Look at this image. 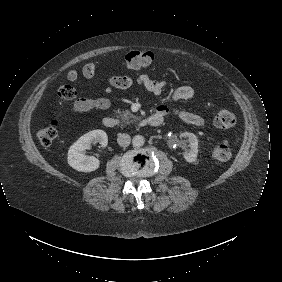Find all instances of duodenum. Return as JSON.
<instances>
[{"label":"duodenum","mask_w":282,"mask_h":282,"mask_svg":"<svg viewBox=\"0 0 282 282\" xmlns=\"http://www.w3.org/2000/svg\"><path fill=\"white\" fill-rule=\"evenodd\" d=\"M163 118L159 115H151L142 119L141 126H158L162 123ZM102 125L106 128L115 129L119 127V121L112 116H106L102 119Z\"/></svg>","instance_id":"1"}]
</instances>
